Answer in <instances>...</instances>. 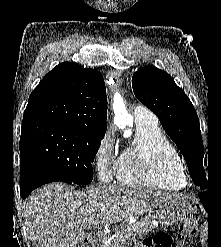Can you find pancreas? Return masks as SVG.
<instances>
[{"label":"pancreas","instance_id":"obj_1","mask_svg":"<svg viewBox=\"0 0 221 247\" xmlns=\"http://www.w3.org/2000/svg\"><path fill=\"white\" fill-rule=\"evenodd\" d=\"M151 222L147 219L135 224H123L118 228L117 236L105 241L104 247H124L128 242H131L135 237H144L151 230Z\"/></svg>","mask_w":221,"mask_h":247}]
</instances>
